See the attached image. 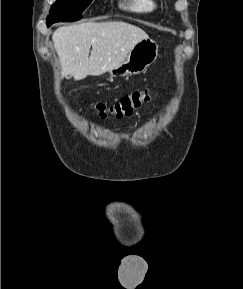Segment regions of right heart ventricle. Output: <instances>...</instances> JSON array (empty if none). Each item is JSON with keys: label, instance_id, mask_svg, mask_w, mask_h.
I'll list each match as a JSON object with an SVG mask.
<instances>
[{"label": "right heart ventricle", "instance_id": "right-heart-ventricle-1", "mask_svg": "<svg viewBox=\"0 0 243 289\" xmlns=\"http://www.w3.org/2000/svg\"><path fill=\"white\" fill-rule=\"evenodd\" d=\"M120 7L125 11L144 15L152 13L157 5L154 0H124Z\"/></svg>", "mask_w": 243, "mask_h": 289}]
</instances>
